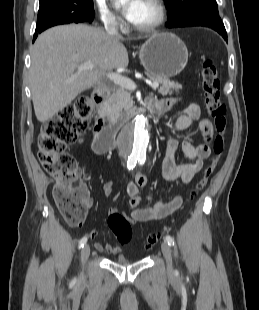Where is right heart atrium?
<instances>
[{
	"label": "right heart atrium",
	"mask_w": 259,
	"mask_h": 310,
	"mask_svg": "<svg viewBox=\"0 0 259 310\" xmlns=\"http://www.w3.org/2000/svg\"><path fill=\"white\" fill-rule=\"evenodd\" d=\"M97 9L102 22L108 28H115L121 25V21L105 4L104 0H97Z\"/></svg>",
	"instance_id": "right-heart-atrium-1"
}]
</instances>
